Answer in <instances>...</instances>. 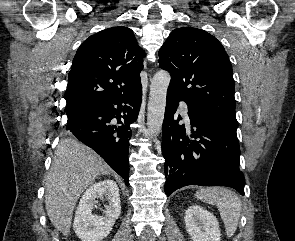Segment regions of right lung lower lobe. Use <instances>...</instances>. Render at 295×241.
Returning a JSON list of instances; mask_svg holds the SVG:
<instances>
[{"mask_svg": "<svg viewBox=\"0 0 295 241\" xmlns=\"http://www.w3.org/2000/svg\"><path fill=\"white\" fill-rule=\"evenodd\" d=\"M141 99L139 84L126 94L95 101L67 115L68 133L96 151L127 186L130 124L137 119Z\"/></svg>", "mask_w": 295, "mask_h": 241, "instance_id": "1", "label": "right lung lower lobe"}]
</instances>
